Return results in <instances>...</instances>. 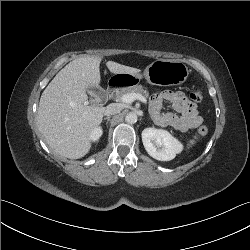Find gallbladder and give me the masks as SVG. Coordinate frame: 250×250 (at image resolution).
<instances>
[{
	"mask_svg": "<svg viewBox=\"0 0 250 250\" xmlns=\"http://www.w3.org/2000/svg\"><path fill=\"white\" fill-rule=\"evenodd\" d=\"M87 91L92 92L93 94H100L103 93V90L99 87H90Z\"/></svg>",
	"mask_w": 250,
	"mask_h": 250,
	"instance_id": "1",
	"label": "gallbladder"
}]
</instances>
